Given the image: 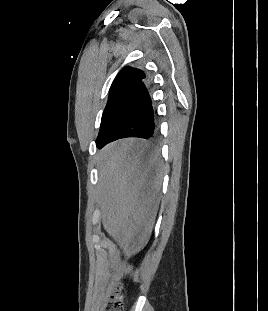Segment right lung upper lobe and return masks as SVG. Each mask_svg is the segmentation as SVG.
Here are the masks:
<instances>
[{"label": "right lung upper lobe", "instance_id": "right-lung-upper-lobe-1", "mask_svg": "<svg viewBox=\"0 0 268 311\" xmlns=\"http://www.w3.org/2000/svg\"><path fill=\"white\" fill-rule=\"evenodd\" d=\"M145 78V74L140 69L125 67L114 79L110 93L126 86H136Z\"/></svg>", "mask_w": 268, "mask_h": 311}]
</instances>
